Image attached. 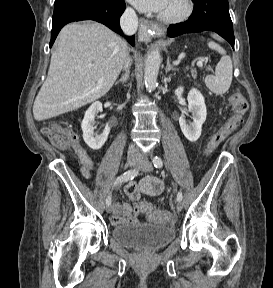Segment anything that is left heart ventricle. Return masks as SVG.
Here are the masks:
<instances>
[{
  "instance_id": "obj_1",
  "label": "left heart ventricle",
  "mask_w": 273,
  "mask_h": 288,
  "mask_svg": "<svg viewBox=\"0 0 273 288\" xmlns=\"http://www.w3.org/2000/svg\"><path fill=\"white\" fill-rule=\"evenodd\" d=\"M184 0H168L161 14L173 16L180 14L184 10Z\"/></svg>"
}]
</instances>
